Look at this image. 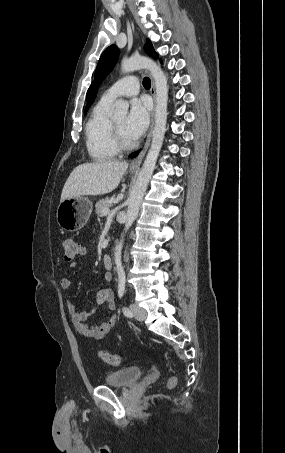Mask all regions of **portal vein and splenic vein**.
<instances>
[{"label":"portal vein and splenic vein","instance_id":"obj_1","mask_svg":"<svg viewBox=\"0 0 285 453\" xmlns=\"http://www.w3.org/2000/svg\"><path fill=\"white\" fill-rule=\"evenodd\" d=\"M109 213H110V210H109V209H104V210L102 211V215H103V216H107Z\"/></svg>","mask_w":285,"mask_h":453}]
</instances>
